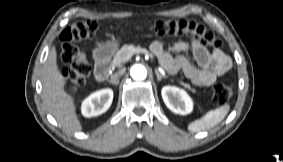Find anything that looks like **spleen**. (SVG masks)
<instances>
[{"label": "spleen", "instance_id": "obj_1", "mask_svg": "<svg viewBox=\"0 0 283 162\" xmlns=\"http://www.w3.org/2000/svg\"><path fill=\"white\" fill-rule=\"evenodd\" d=\"M229 110V105H224L215 110H210L202 118L191 122L188 125V130L191 132L208 130L219 124L228 114Z\"/></svg>", "mask_w": 283, "mask_h": 162}]
</instances>
